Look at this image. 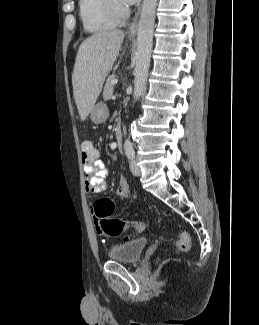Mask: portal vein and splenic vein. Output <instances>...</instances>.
I'll use <instances>...</instances> for the list:
<instances>
[{"label":"portal vein and splenic vein","instance_id":"18ae733b","mask_svg":"<svg viewBox=\"0 0 259 325\" xmlns=\"http://www.w3.org/2000/svg\"><path fill=\"white\" fill-rule=\"evenodd\" d=\"M118 82V79H113L112 81H111V83L114 85V84H116Z\"/></svg>","mask_w":259,"mask_h":325}]
</instances>
